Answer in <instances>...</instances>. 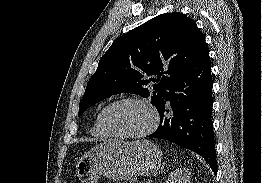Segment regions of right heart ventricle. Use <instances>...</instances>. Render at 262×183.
<instances>
[{"label":"right heart ventricle","mask_w":262,"mask_h":183,"mask_svg":"<svg viewBox=\"0 0 262 183\" xmlns=\"http://www.w3.org/2000/svg\"><path fill=\"white\" fill-rule=\"evenodd\" d=\"M99 115L100 113H98L97 116L95 117V120L91 128V134L98 139H106L108 138V136L103 132V130L100 127Z\"/></svg>","instance_id":"e07e8e85"}]
</instances>
